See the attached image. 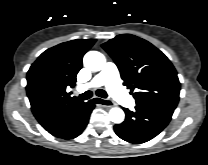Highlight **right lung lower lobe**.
I'll list each match as a JSON object with an SVG mask.
<instances>
[{"instance_id":"98d812e1","label":"right lung lower lobe","mask_w":208,"mask_h":165,"mask_svg":"<svg viewBox=\"0 0 208 165\" xmlns=\"http://www.w3.org/2000/svg\"><path fill=\"white\" fill-rule=\"evenodd\" d=\"M93 100L84 103L80 109L76 110L65 119L46 129L50 134L61 139H73L79 136L88 124L90 114L94 109Z\"/></svg>"}]
</instances>
